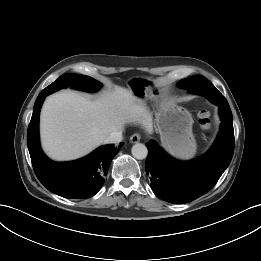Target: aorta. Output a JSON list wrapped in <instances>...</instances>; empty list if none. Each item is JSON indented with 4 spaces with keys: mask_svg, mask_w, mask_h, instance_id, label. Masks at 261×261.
Segmentation results:
<instances>
[{
    "mask_svg": "<svg viewBox=\"0 0 261 261\" xmlns=\"http://www.w3.org/2000/svg\"><path fill=\"white\" fill-rule=\"evenodd\" d=\"M131 153L134 158L142 160L148 155L147 147L142 143H136L131 149Z\"/></svg>",
    "mask_w": 261,
    "mask_h": 261,
    "instance_id": "obj_1",
    "label": "aorta"
}]
</instances>
